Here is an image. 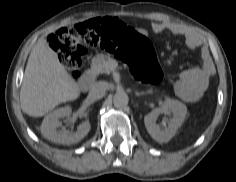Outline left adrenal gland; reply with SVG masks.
I'll use <instances>...</instances> for the list:
<instances>
[{
	"instance_id": "a2214340",
	"label": "left adrenal gland",
	"mask_w": 236,
	"mask_h": 182,
	"mask_svg": "<svg viewBox=\"0 0 236 182\" xmlns=\"http://www.w3.org/2000/svg\"><path fill=\"white\" fill-rule=\"evenodd\" d=\"M149 92H135L136 96H140V95H145L148 94Z\"/></svg>"
}]
</instances>
